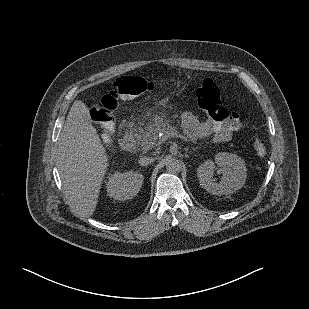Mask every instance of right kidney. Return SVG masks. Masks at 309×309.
I'll use <instances>...</instances> for the list:
<instances>
[{
	"label": "right kidney",
	"mask_w": 309,
	"mask_h": 309,
	"mask_svg": "<svg viewBox=\"0 0 309 309\" xmlns=\"http://www.w3.org/2000/svg\"><path fill=\"white\" fill-rule=\"evenodd\" d=\"M143 180L144 176L136 171L122 173L116 170L108 175L106 191L115 200H129L138 194Z\"/></svg>",
	"instance_id": "ca27d5eb"
}]
</instances>
